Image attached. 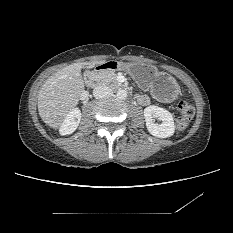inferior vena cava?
<instances>
[{"label": "inferior vena cava", "instance_id": "inferior-vena-cava-1", "mask_svg": "<svg viewBox=\"0 0 233 233\" xmlns=\"http://www.w3.org/2000/svg\"><path fill=\"white\" fill-rule=\"evenodd\" d=\"M112 95V90L107 86H97L93 90V96L97 99L106 98Z\"/></svg>", "mask_w": 233, "mask_h": 233}]
</instances>
